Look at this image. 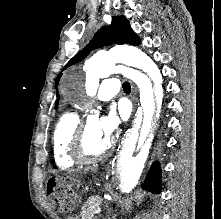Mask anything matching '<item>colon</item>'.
<instances>
[{"instance_id":"colon-1","label":"colon","mask_w":221,"mask_h":219,"mask_svg":"<svg viewBox=\"0 0 221 219\" xmlns=\"http://www.w3.org/2000/svg\"><path fill=\"white\" fill-rule=\"evenodd\" d=\"M48 191H49V195L53 197V199H56L57 195L61 194V192L63 191V184H61L58 181H51L48 185ZM70 210L72 209L71 208L66 209V211H70Z\"/></svg>"}]
</instances>
